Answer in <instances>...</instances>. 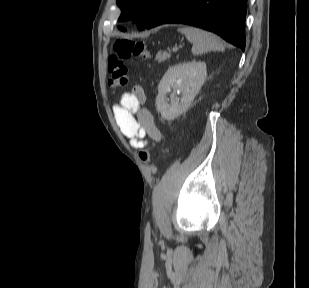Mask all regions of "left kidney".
Masks as SVG:
<instances>
[{
    "instance_id": "left-kidney-1",
    "label": "left kidney",
    "mask_w": 309,
    "mask_h": 288,
    "mask_svg": "<svg viewBox=\"0 0 309 288\" xmlns=\"http://www.w3.org/2000/svg\"><path fill=\"white\" fill-rule=\"evenodd\" d=\"M206 77L207 68L203 61L170 67L159 83L156 98V107L162 118L171 121L185 112L200 91ZM171 91L169 104L166 94ZM177 94L182 95L180 102Z\"/></svg>"
}]
</instances>
